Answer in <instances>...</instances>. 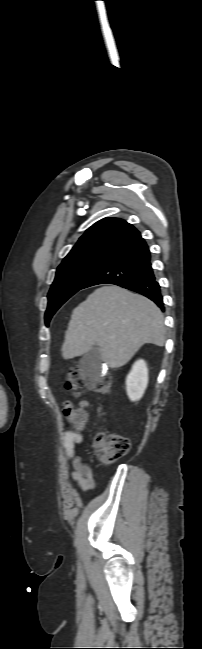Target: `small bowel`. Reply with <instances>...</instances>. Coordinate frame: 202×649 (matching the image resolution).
<instances>
[{"label": "small bowel", "mask_w": 202, "mask_h": 649, "mask_svg": "<svg viewBox=\"0 0 202 649\" xmlns=\"http://www.w3.org/2000/svg\"><path fill=\"white\" fill-rule=\"evenodd\" d=\"M83 436L73 430H66L63 438V447L70 460L72 472L70 478L75 481L82 492L90 493L95 487V480L90 466L75 454V446L81 444Z\"/></svg>", "instance_id": "obj_1"}]
</instances>
